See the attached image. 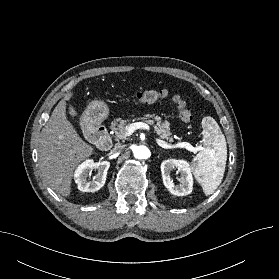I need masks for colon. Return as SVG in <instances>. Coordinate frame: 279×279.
<instances>
[{"label":"colon","mask_w":279,"mask_h":279,"mask_svg":"<svg viewBox=\"0 0 279 279\" xmlns=\"http://www.w3.org/2000/svg\"><path fill=\"white\" fill-rule=\"evenodd\" d=\"M168 96L166 90H145L140 91L136 94V100L140 104H149L156 102L158 100L164 99ZM172 101L179 113L180 118L184 122H191L193 120V114L190 109L187 107L185 101L179 96L174 95Z\"/></svg>","instance_id":"5ec220e1"}]
</instances>
